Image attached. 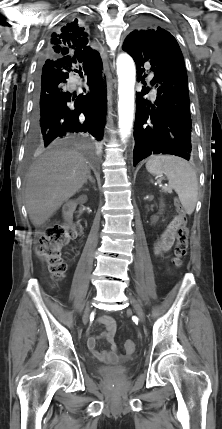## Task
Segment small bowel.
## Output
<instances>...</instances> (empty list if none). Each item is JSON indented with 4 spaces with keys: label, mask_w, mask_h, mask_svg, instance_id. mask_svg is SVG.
<instances>
[{
    "label": "small bowel",
    "mask_w": 222,
    "mask_h": 429,
    "mask_svg": "<svg viewBox=\"0 0 222 429\" xmlns=\"http://www.w3.org/2000/svg\"><path fill=\"white\" fill-rule=\"evenodd\" d=\"M179 225L180 221L178 216H176L171 220L155 244L156 254H161L171 248ZM98 321L103 325L104 332L100 336H90L87 339V346L93 356L99 361L110 365H116L119 362L125 361V357L119 356L117 352V345L114 340L116 333L115 320L108 315H103L98 319ZM100 338L104 339L109 344V350L97 349V342Z\"/></svg>",
    "instance_id": "1"
}]
</instances>
